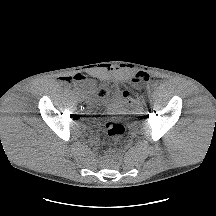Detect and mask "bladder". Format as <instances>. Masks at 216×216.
<instances>
[{
  "instance_id": "obj_1",
  "label": "bladder",
  "mask_w": 216,
  "mask_h": 216,
  "mask_svg": "<svg viewBox=\"0 0 216 216\" xmlns=\"http://www.w3.org/2000/svg\"><path fill=\"white\" fill-rule=\"evenodd\" d=\"M85 100L91 115L100 122H108L112 119L124 121L130 118L133 107L130 101L115 91L91 97L90 92L85 93Z\"/></svg>"
}]
</instances>
